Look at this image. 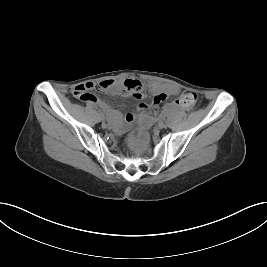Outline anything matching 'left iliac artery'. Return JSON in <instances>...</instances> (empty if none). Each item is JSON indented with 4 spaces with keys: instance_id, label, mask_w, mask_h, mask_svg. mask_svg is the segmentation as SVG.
<instances>
[{
    "instance_id": "1",
    "label": "left iliac artery",
    "mask_w": 267,
    "mask_h": 267,
    "mask_svg": "<svg viewBox=\"0 0 267 267\" xmlns=\"http://www.w3.org/2000/svg\"><path fill=\"white\" fill-rule=\"evenodd\" d=\"M170 120H171V118H170V117H164V118H163V121H164V122H166V123H169V122H170Z\"/></svg>"
}]
</instances>
